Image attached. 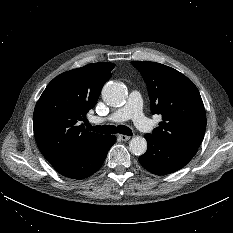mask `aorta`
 <instances>
[{"instance_id":"1","label":"aorta","mask_w":233,"mask_h":233,"mask_svg":"<svg viewBox=\"0 0 233 233\" xmlns=\"http://www.w3.org/2000/svg\"><path fill=\"white\" fill-rule=\"evenodd\" d=\"M102 99L110 106H120L125 103L127 92L123 84L116 81L106 83L102 89ZM129 149L134 155H143L147 150L144 137L135 136L129 142Z\"/></svg>"}]
</instances>
